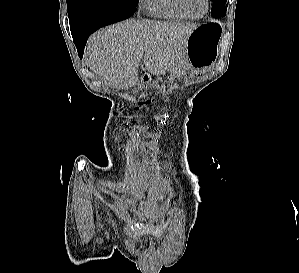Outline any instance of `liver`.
Returning <instances> with one entry per match:
<instances>
[{
	"instance_id": "6515ba94",
	"label": "liver",
	"mask_w": 299,
	"mask_h": 273,
	"mask_svg": "<svg viewBox=\"0 0 299 273\" xmlns=\"http://www.w3.org/2000/svg\"><path fill=\"white\" fill-rule=\"evenodd\" d=\"M194 23L128 20L93 34L86 47L90 69L111 86L138 83V68L144 61L148 72L180 74L191 66L187 41L198 27Z\"/></svg>"
}]
</instances>
